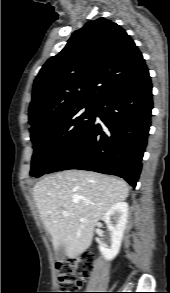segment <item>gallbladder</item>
Here are the masks:
<instances>
[{"mask_svg":"<svg viewBox=\"0 0 170 293\" xmlns=\"http://www.w3.org/2000/svg\"><path fill=\"white\" fill-rule=\"evenodd\" d=\"M65 258V248L63 245H60L58 250L55 251V259L57 261H62Z\"/></svg>","mask_w":170,"mask_h":293,"instance_id":"gallbladder-1","label":"gallbladder"}]
</instances>
